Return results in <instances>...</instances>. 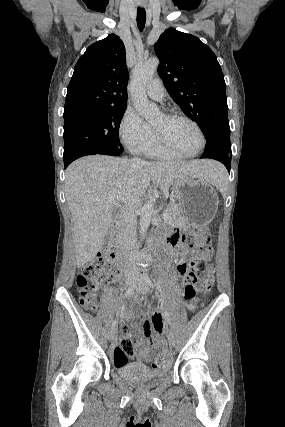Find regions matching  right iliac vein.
Returning a JSON list of instances; mask_svg holds the SVG:
<instances>
[{"label": "right iliac vein", "mask_w": 285, "mask_h": 427, "mask_svg": "<svg viewBox=\"0 0 285 427\" xmlns=\"http://www.w3.org/2000/svg\"><path fill=\"white\" fill-rule=\"evenodd\" d=\"M132 284V282L131 281H128L127 282V285L128 286H130ZM116 336H117V332H116V330L115 329H112L110 332H109V340L110 341H114L115 339H116Z\"/></svg>", "instance_id": "obj_1"}]
</instances>
